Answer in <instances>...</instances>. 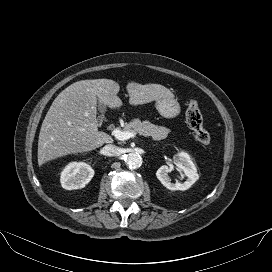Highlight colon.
Segmentation results:
<instances>
[{
  "label": "colon",
  "mask_w": 272,
  "mask_h": 272,
  "mask_svg": "<svg viewBox=\"0 0 272 272\" xmlns=\"http://www.w3.org/2000/svg\"><path fill=\"white\" fill-rule=\"evenodd\" d=\"M185 119L196 140L202 144H209L211 136L203 127L202 114L198 102L194 98H190L188 101Z\"/></svg>",
  "instance_id": "obj_1"
}]
</instances>
